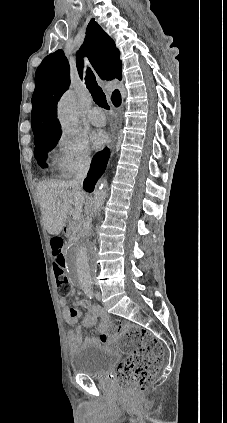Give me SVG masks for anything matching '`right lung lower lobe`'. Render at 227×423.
Here are the masks:
<instances>
[{
	"label": "right lung lower lobe",
	"mask_w": 227,
	"mask_h": 423,
	"mask_svg": "<svg viewBox=\"0 0 227 423\" xmlns=\"http://www.w3.org/2000/svg\"><path fill=\"white\" fill-rule=\"evenodd\" d=\"M121 103V102H120ZM120 103L115 104V106H119ZM110 152L108 148L104 149L103 151L97 153L92 160L90 171L87 175V178L84 180L83 188L88 191L92 192L94 186L104 172L108 159H109Z\"/></svg>",
	"instance_id": "1"
}]
</instances>
